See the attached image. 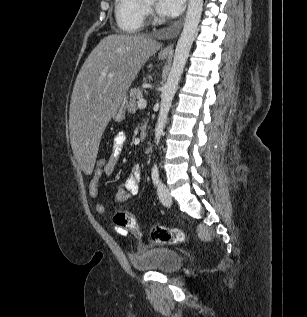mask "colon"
I'll return each instance as SVG.
<instances>
[{"mask_svg":"<svg viewBox=\"0 0 307 317\" xmlns=\"http://www.w3.org/2000/svg\"><path fill=\"white\" fill-rule=\"evenodd\" d=\"M108 159L102 155H98L95 162V169L105 167ZM113 222L120 228L131 231L135 235L140 234L139 226L136 219L121 210L115 211ZM151 240L153 243L162 245H177L187 241V235L179 228H169L165 226H155L151 230Z\"/></svg>","mask_w":307,"mask_h":317,"instance_id":"1","label":"colon"}]
</instances>
